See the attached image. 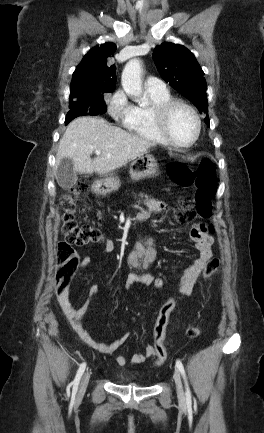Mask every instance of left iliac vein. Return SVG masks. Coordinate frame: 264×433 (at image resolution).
I'll list each match as a JSON object with an SVG mask.
<instances>
[{"instance_id": "1", "label": "left iliac vein", "mask_w": 264, "mask_h": 433, "mask_svg": "<svg viewBox=\"0 0 264 433\" xmlns=\"http://www.w3.org/2000/svg\"><path fill=\"white\" fill-rule=\"evenodd\" d=\"M173 378H174V381L176 383L178 398H179L180 402L184 403L185 402V392H184L181 376H180V373H179L177 368H175V370H174Z\"/></svg>"}]
</instances>
